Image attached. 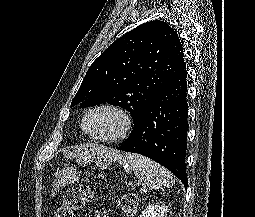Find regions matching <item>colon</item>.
Instances as JSON below:
<instances>
[{
  "instance_id": "1",
  "label": "colon",
  "mask_w": 255,
  "mask_h": 217,
  "mask_svg": "<svg viewBox=\"0 0 255 217\" xmlns=\"http://www.w3.org/2000/svg\"><path fill=\"white\" fill-rule=\"evenodd\" d=\"M90 200V190L87 187L68 189L63 195L62 204L55 210L54 217H75L76 212L83 209ZM122 211L133 216L138 209V197L134 193L124 194L120 199Z\"/></svg>"
}]
</instances>
